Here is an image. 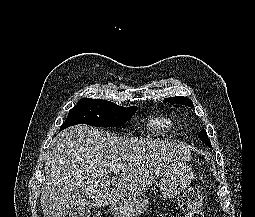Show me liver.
<instances>
[{
    "instance_id": "1",
    "label": "liver",
    "mask_w": 255,
    "mask_h": 217,
    "mask_svg": "<svg viewBox=\"0 0 255 217\" xmlns=\"http://www.w3.org/2000/svg\"><path fill=\"white\" fill-rule=\"evenodd\" d=\"M190 159L186 144L72 126L58 133L47 150L41 188L44 217H66L79 205L99 208L135 199ZM114 164L121 165V171L111 176Z\"/></svg>"
}]
</instances>
